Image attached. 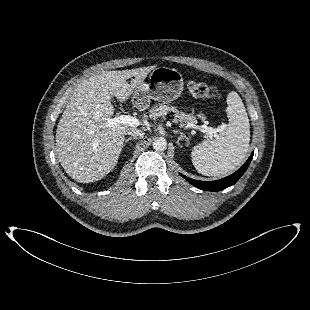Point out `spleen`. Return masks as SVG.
I'll use <instances>...</instances> for the list:
<instances>
[{
    "mask_svg": "<svg viewBox=\"0 0 310 310\" xmlns=\"http://www.w3.org/2000/svg\"><path fill=\"white\" fill-rule=\"evenodd\" d=\"M229 123L211 140L193 147L192 163L205 176L227 174L243 161L250 142V124L242 99L231 91L226 99Z\"/></svg>",
    "mask_w": 310,
    "mask_h": 310,
    "instance_id": "3e777b00",
    "label": "spleen"
}]
</instances>
